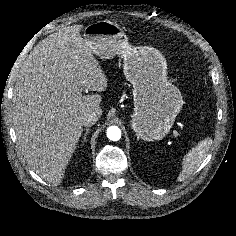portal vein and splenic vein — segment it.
<instances>
[{"instance_id": "1", "label": "portal vein and splenic vein", "mask_w": 236, "mask_h": 236, "mask_svg": "<svg viewBox=\"0 0 236 236\" xmlns=\"http://www.w3.org/2000/svg\"><path fill=\"white\" fill-rule=\"evenodd\" d=\"M174 135H175L176 137H180V134H179L178 132H174Z\"/></svg>"}]
</instances>
